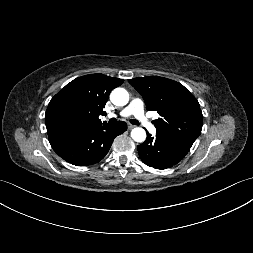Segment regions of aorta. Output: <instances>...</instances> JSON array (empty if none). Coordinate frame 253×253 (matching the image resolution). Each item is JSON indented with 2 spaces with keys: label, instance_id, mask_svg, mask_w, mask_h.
Masks as SVG:
<instances>
[{
  "label": "aorta",
  "instance_id": "1",
  "mask_svg": "<svg viewBox=\"0 0 253 253\" xmlns=\"http://www.w3.org/2000/svg\"><path fill=\"white\" fill-rule=\"evenodd\" d=\"M110 100L116 106H124L129 101V94L124 88H115L110 94ZM131 137L136 142H144L146 132L143 128L136 127L131 131Z\"/></svg>",
  "mask_w": 253,
  "mask_h": 253
}]
</instances>
